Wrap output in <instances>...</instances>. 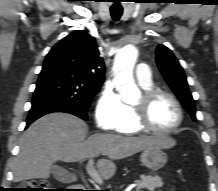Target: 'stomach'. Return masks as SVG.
Masks as SVG:
<instances>
[{"instance_id":"stomach-1","label":"stomach","mask_w":218,"mask_h":191,"mask_svg":"<svg viewBox=\"0 0 218 191\" xmlns=\"http://www.w3.org/2000/svg\"><path fill=\"white\" fill-rule=\"evenodd\" d=\"M141 163L153 171H157L167 163V154L159 147H151L143 150L140 156Z\"/></svg>"}]
</instances>
